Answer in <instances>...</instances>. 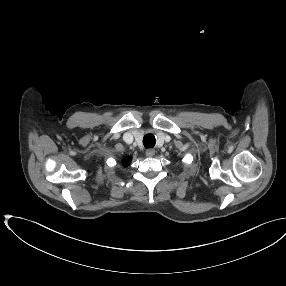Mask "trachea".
<instances>
[{
    "label": "trachea",
    "instance_id": "obj_1",
    "mask_svg": "<svg viewBox=\"0 0 286 286\" xmlns=\"http://www.w3.org/2000/svg\"><path fill=\"white\" fill-rule=\"evenodd\" d=\"M156 139L153 134H146L143 138V144L145 148H153L155 146Z\"/></svg>",
    "mask_w": 286,
    "mask_h": 286
}]
</instances>
